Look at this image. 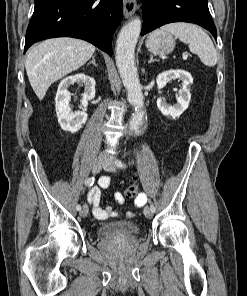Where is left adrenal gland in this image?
I'll list each match as a JSON object with an SVG mask.
<instances>
[{"label":"left adrenal gland","mask_w":247,"mask_h":296,"mask_svg":"<svg viewBox=\"0 0 247 296\" xmlns=\"http://www.w3.org/2000/svg\"><path fill=\"white\" fill-rule=\"evenodd\" d=\"M154 61H158L157 59H153V55H150V60L148 61V63H152Z\"/></svg>","instance_id":"obj_1"}]
</instances>
